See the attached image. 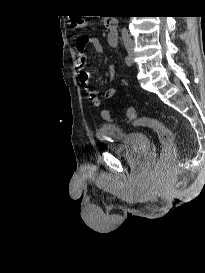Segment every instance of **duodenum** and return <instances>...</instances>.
<instances>
[{
    "label": "duodenum",
    "instance_id": "obj_1",
    "mask_svg": "<svg viewBox=\"0 0 205 273\" xmlns=\"http://www.w3.org/2000/svg\"><path fill=\"white\" fill-rule=\"evenodd\" d=\"M117 19L115 17H108L105 21V27L110 33V39H113L114 32L116 30Z\"/></svg>",
    "mask_w": 205,
    "mask_h": 273
}]
</instances>
